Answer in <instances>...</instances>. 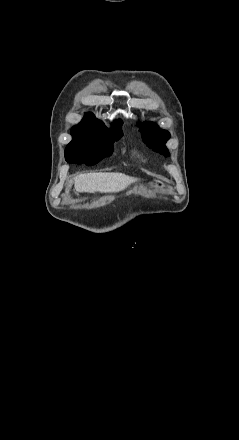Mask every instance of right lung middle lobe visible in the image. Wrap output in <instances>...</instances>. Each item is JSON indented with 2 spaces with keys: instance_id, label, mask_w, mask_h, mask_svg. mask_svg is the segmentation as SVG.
Listing matches in <instances>:
<instances>
[{
  "instance_id": "right-lung-middle-lobe-1",
  "label": "right lung middle lobe",
  "mask_w": 239,
  "mask_h": 440,
  "mask_svg": "<svg viewBox=\"0 0 239 440\" xmlns=\"http://www.w3.org/2000/svg\"><path fill=\"white\" fill-rule=\"evenodd\" d=\"M73 140L67 145L65 151L77 148L91 147L102 152L112 153L113 143L122 135L121 127H114L109 130L104 124L96 122H81L71 129Z\"/></svg>"
}]
</instances>
